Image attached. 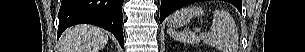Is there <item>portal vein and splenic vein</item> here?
Here are the masks:
<instances>
[{"instance_id":"18ae733b","label":"portal vein and splenic vein","mask_w":305,"mask_h":52,"mask_svg":"<svg viewBox=\"0 0 305 52\" xmlns=\"http://www.w3.org/2000/svg\"><path fill=\"white\" fill-rule=\"evenodd\" d=\"M195 31H196V32H200L201 30H200V29H195Z\"/></svg>"}]
</instances>
